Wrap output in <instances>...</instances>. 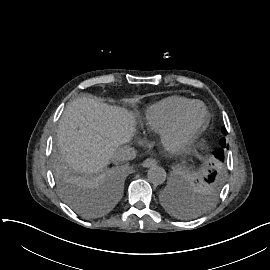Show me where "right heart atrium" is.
<instances>
[{
	"label": "right heart atrium",
	"mask_w": 270,
	"mask_h": 270,
	"mask_svg": "<svg viewBox=\"0 0 270 270\" xmlns=\"http://www.w3.org/2000/svg\"><path fill=\"white\" fill-rule=\"evenodd\" d=\"M149 140V137L145 136L137 141V144L139 146H143L147 141Z\"/></svg>",
	"instance_id": "obj_1"
}]
</instances>
